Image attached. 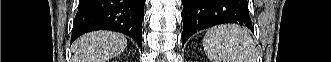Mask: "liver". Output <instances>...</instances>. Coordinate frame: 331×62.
<instances>
[{
    "label": "liver",
    "mask_w": 331,
    "mask_h": 62,
    "mask_svg": "<svg viewBox=\"0 0 331 62\" xmlns=\"http://www.w3.org/2000/svg\"><path fill=\"white\" fill-rule=\"evenodd\" d=\"M127 46L126 37L110 31H96L78 38L71 46L73 62H107Z\"/></svg>",
    "instance_id": "1"
}]
</instances>
